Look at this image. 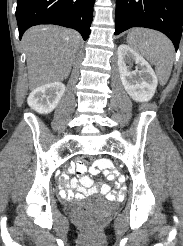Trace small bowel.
<instances>
[{
	"label": "small bowel",
	"instance_id": "obj_1",
	"mask_svg": "<svg viewBox=\"0 0 183 246\" xmlns=\"http://www.w3.org/2000/svg\"><path fill=\"white\" fill-rule=\"evenodd\" d=\"M113 163V160L99 159L88 170L91 174H96L100 170V174H106L112 183H115L116 179H119V184L115 185V192L107 184L94 185L92 179L86 174V166L80 163L77 165H67V169H63L62 171L63 174H59V179H62L63 182L59 186L61 197L72 199L100 193L109 199H118L121 196L119 193H127V188H123L122 186V183H126L127 180L126 174H116L117 166L113 165ZM110 165H113L112 169H110ZM74 170L78 173L77 178L70 179V174H73ZM67 179L70 180L67 181Z\"/></svg>",
	"mask_w": 183,
	"mask_h": 246
}]
</instances>
